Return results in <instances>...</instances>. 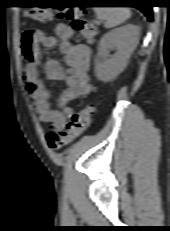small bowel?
<instances>
[{
	"instance_id": "small-bowel-1",
	"label": "small bowel",
	"mask_w": 170,
	"mask_h": 231,
	"mask_svg": "<svg viewBox=\"0 0 170 231\" xmlns=\"http://www.w3.org/2000/svg\"><path fill=\"white\" fill-rule=\"evenodd\" d=\"M55 31L56 36H47L38 30L24 33L21 48L26 67L23 78L39 120L49 123L56 131H62L73 115V109L68 104L93 90L88 74L91 49L85 44L72 42L74 32L70 26L60 23ZM55 47L59 48L65 67L55 60H48L43 68L48 79L62 81L66 85L58 99L59 109L52 108L51 93L39 78L43 51L48 52Z\"/></svg>"
}]
</instances>
